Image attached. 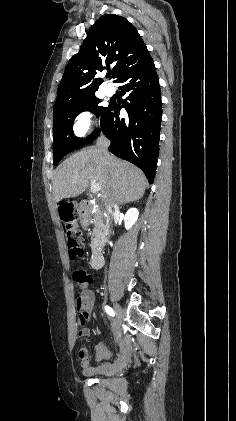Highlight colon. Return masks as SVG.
I'll use <instances>...</instances> for the list:
<instances>
[{"label": "colon", "instance_id": "1", "mask_svg": "<svg viewBox=\"0 0 236 421\" xmlns=\"http://www.w3.org/2000/svg\"><path fill=\"white\" fill-rule=\"evenodd\" d=\"M63 220H64V229L67 236V245L69 256L71 259H77L83 255V239L81 231L73 217H71V212L69 207L63 209ZM73 281L74 285L81 294V296L88 290L89 286L92 283V277L90 274L83 268L77 267L73 271ZM79 319L81 323L86 321V313L82 307H80ZM86 349L81 347L78 351L79 356H84Z\"/></svg>", "mask_w": 236, "mask_h": 421}]
</instances>
